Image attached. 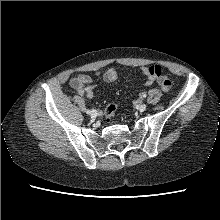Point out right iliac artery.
<instances>
[{
  "instance_id": "82829eb1",
  "label": "right iliac artery",
  "mask_w": 220,
  "mask_h": 220,
  "mask_svg": "<svg viewBox=\"0 0 220 220\" xmlns=\"http://www.w3.org/2000/svg\"><path fill=\"white\" fill-rule=\"evenodd\" d=\"M91 112H92V111H90V110H87V111H86L87 114H91Z\"/></svg>"
}]
</instances>
